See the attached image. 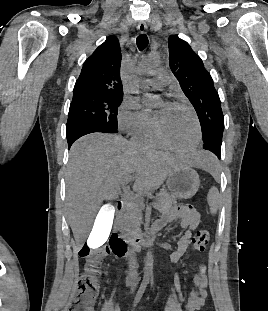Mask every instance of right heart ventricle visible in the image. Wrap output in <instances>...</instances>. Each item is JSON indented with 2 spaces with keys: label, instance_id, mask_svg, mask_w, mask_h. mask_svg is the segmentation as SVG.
Masks as SVG:
<instances>
[{
  "label": "right heart ventricle",
  "instance_id": "1",
  "mask_svg": "<svg viewBox=\"0 0 268 311\" xmlns=\"http://www.w3.org/2000/svg\"><path fill=\"white\" fill-rule=\"evenodd\" d=\"M133 140L143 146L151 148H160L163 147L161 142L158 140L153 123L150 126L146 127L142 131L133 135Z\"/></svg>",
  "mask_w": 268,
  "mask_h": 311
}]
</instances>
